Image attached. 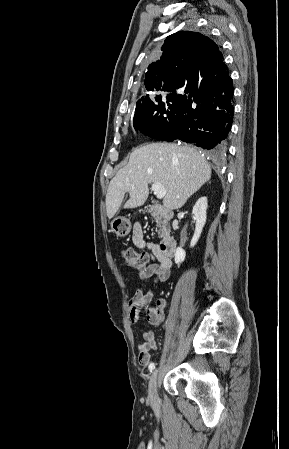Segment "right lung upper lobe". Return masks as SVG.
Returning a JSON list of instances; mask_svg holds the SVG:
<instances>
[{"label":"right lung upper lobe","instance_id":"obj_1","mask_svg":"<svg viewBox=\"0 0 289 449\" xmlns=\"http://www.w3.org/2000/svg\"><path fill=\"white\" fill-rule=\"evenodd\" d=\"M161 50L160 59L148 66L145 75L148 91H165L186 82L205 81L225 65L216 43L197 32H176L166 38ZM149 97L147 94L139 101Z\"/></svg>","mask_w":289,"mask_h":449}]
</instances>
